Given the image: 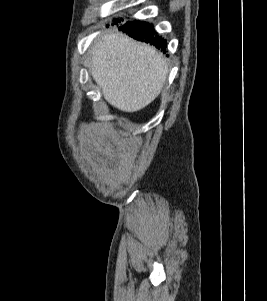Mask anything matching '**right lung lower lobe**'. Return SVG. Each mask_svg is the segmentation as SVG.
Returning a JSON list of instances; mask_svg holds the SVG:
<instances>
[{
	"mask_svg": "<svg viewBox=\"0 0 267 301\" xmlns=\"http://www.w3.org/2000/svg\"><path fill=\"white\" fill-rule=\"evenodd\" d=\"M119 29L126 32L134 39L150 43L157 48H161L165 52L166 40L162 39L161 36L156 35L157 33L155 32V30H153L152 25L148 23L140 21H129L119 27Z\"/></svg>",
	"mask_w": 267,
	"mask_h": 301,
	"instance_id": "98d812e1",
	"label": "right lung lower lobe"
}]
</instances>
